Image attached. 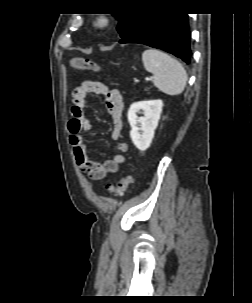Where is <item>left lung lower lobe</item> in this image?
Returning <instances> with one entry per match:
<instances>
[{
  "instance_id": "obj_1",
  "label": "left lung lower lobe",
  "mask_w": 252,
  "mask_h": 303,
  "mask_svg": "<svg viewBox=\"0 0 252 303\" xmlns=\"http://www.w3.org/2000/svg\"><path fill=\"white\" fill-rule=\"evenodd\" d=\"M120 43H140L169 52L189 64L190 33L186 13L145 12Z\"/></svg>"
}]
</instances>
